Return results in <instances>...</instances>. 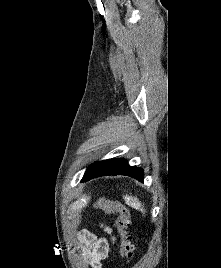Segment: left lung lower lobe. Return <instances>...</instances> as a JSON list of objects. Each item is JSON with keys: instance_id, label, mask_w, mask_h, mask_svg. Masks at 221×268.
I'll return each instance as SVG.
<instances>
[{"instance_id": "1", "label": "left lung lower lobe", "mask_w": 221, "mask_h": 268, "mask_svg": "<svg viewBox=\"0 0 221 268\" xmlns=\"http://www.w3.org/2000/svg\"><path fill=\"white\" fill-rule=\"evenodd\" d=\"M105 175H127L143 182V170L129 166L124 159H109L92 164L85 172L83 181Z\"/></svg>"}]
</instances>
